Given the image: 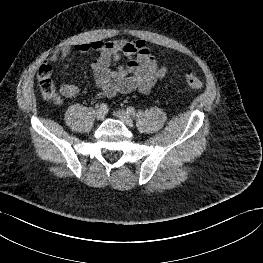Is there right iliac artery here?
I'll use <instances>...</instances> for the list:
<instances>
[{
  "label": "right iliac artery",
  "instance_id": "obj_1",
  "mask_svg": "<svg viewBox=\"0 0 263 263\" xmlns=\"http://www.w3.org/2000/svg\"><path fill=\"white\" fill-rule=\"evenodd\" d=\"M100 109L106 110V109H107V105H106L105 103H102V104L100 105Z\"/></svg>",
  "mask_w": 263,
  "mask_h": 263
}]
</instances>
